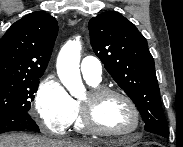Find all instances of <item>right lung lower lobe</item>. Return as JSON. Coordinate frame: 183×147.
I'll list each match as a JSON object with an SVG mask.
<instances>
[{"label":"right lung lower lobe","mask_w":183,"mask_h":147,"mask_svg":"<svg viewBox=\"0 0 183 147\" xmlns=\"http://www.w3.org/2000/svg\"><path fill=\"white\" fill-rule=\"evenodd\" d=\"M22 130L39 132V127L27 112H12L0 115V134Z\"/></svg>","instance_id":"98d812e1"}]
</instances>
